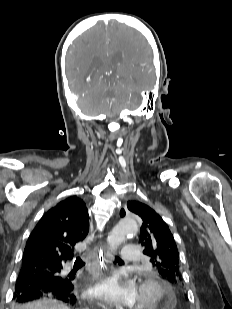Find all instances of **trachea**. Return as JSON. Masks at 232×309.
<instances>
[{
    "mask_svg": "<svg viewBox=\"0 0 232 309\" xmlns=\"http://www.w3.org/2000/svg\"><path fill=\"white\" fill-rule=\"evenodd\" d=\"M115 260L116 261H122L119 257H116L115 258ZM84 262L82 261V259L78 256L77 258H76V261H75V264H83Z\"/></svg>",
    "mask_w": 232,
    "mask_h": 309,
    "instance_id": "1",
    "label": "trachea"
}]
</instances>
